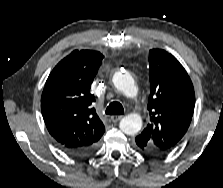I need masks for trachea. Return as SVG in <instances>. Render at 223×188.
Returning <instances> with one entry per match:
<instances>
[{"label": "trachea", "mask_w": 223, "mask_h": 188, "mask_svg": "<svg viewBox=\"0 0 223 188\" xmlns=\"http://www.w3.org/2000/svg\"><path fill=\"white\" fill-rule=\"evenodd\" d=\"M106 114L108 115H122L124 114V108L121 103L113 101L106 108Z\"/></svg>", "instance_id": "obj_1"}]
</instances>
